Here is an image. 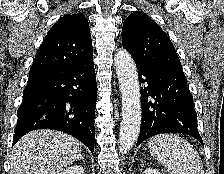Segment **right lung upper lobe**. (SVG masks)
I'll list each match as a JSON object with an SVG mask.
<instances>
[{
	"instance_id": "obj_1",
	"label": "right lung upper lobe",
	"mask_w": 224,
	"mask_h": 174,
	"mask_svg": "<svg viewBox=\"0 0 224 174\" xmlns=\"http://www.w3.org/2000/svg\"><path fill=\"white\" fill-rule=\"evenodd\" d=\"M93 59L88 20L82 13L61 17L38 49L29 76Z\"/></svg>"
}]
</instances>
